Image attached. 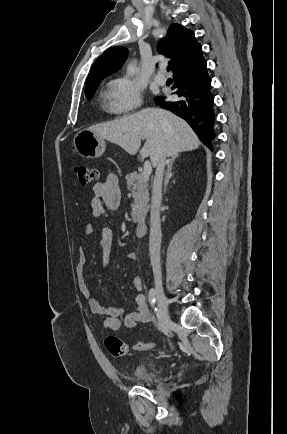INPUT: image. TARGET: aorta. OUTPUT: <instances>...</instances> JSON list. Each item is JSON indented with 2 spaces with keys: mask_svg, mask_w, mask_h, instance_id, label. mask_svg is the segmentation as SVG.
Here are the masks:
<instances>
[{
  "mask_svg": "<svg viewBox=\"0 0 287 434\" xmlns=\"http://www.w3.org/2000/svg\"><path fill=\"white\" fill-rule=\"evenodd\" d=\"M137 66H136V64L133 62V63H130L129 65H128V67H127V74L129 75V76H132V75H134L136 72H137Z\"/></svg>",
  "mask_w": 287,
  "mask_h": 434,
  "instance_id": "1",
  "label": "aorta"
}]
</instances>
